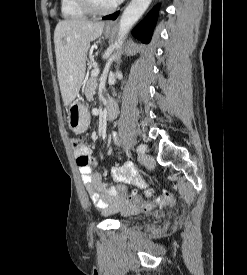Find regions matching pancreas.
Listing matches in <instances>:
<instances>
[{"mask_svg": "<svg viewBox=\"0 0 247 275\" xmlns=\"http://www.w3.org/2000/svg\"><path fill=\"white\" fill-rule=\"evenodd\" d=\"M96 87H97V78L96 76L91 74L90 78L86 83V87L84 91L85 96L88 100H92L93 95L95 94Z\"/></svg>", "mask_w": 247, "mask_h": 275, "instance_id": "pancreas-1", "label": "pancreas"}]
</instances>
